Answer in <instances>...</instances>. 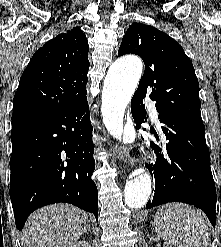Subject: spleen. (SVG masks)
I'll return each instance as SVG.
<instances>
[{
  "instance_id": "3e777b00",
  "label": "spleen",
  "mask_w": 221,
  "mask_h": 247,
  "mask_svg": "<svg viewBox=\"0 0 221 247\" xmlns=\"http://www.w3.org/2000/svg\"><path fill=\"white\" fill-rule=\"evenodd\" d=\"M154 221L156 232L167 244L176 247H209L211 244L205 220L199 211L187 204L162 206Z\"/></svg>"
}]
</instances>
